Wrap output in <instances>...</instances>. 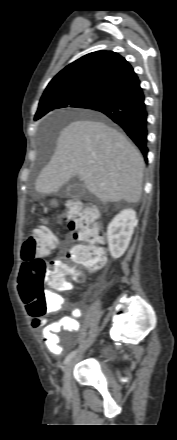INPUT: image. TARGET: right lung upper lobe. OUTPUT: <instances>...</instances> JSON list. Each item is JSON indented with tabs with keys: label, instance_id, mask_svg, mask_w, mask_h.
Listing matches in <instances>:
<instances>
[{
	"label": "right lung upper lobe",
	"instance_id": "1",
	"mask_svg": "<svg viewBox=\"0 0 177 440\" xmlns=\"http://www.w3.org/2000/svg\"><path fill=\"white\" fill-rule=\"evenodd\" d=\"M131 65L112 51L87 54L61 70L48 84L41 101L61 92L99 94L101 97L137 79Z\"/></svg>",
	"mask_w": 177,
	"mask_h": 440
}]
</instances>
